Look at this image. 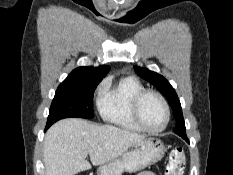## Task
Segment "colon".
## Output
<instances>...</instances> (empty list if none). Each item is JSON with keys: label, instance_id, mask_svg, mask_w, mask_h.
Returning <instances> with one entry per match:
<instances>
[{"label": "colon", "instance_id": "obj_1", "mask_svg": "<svg viewBox=\"0 0 233 175\" xmlns=\"http://www.w3.org/2000/svg\"><path fill=\"white\" fill-rule=\"evenodd\" d=\"M186 165V154L181 147H175L171 150L164 175H182Z\"/></svg>", "mask_w": 233, "mask_h": 175}]
</instances>
